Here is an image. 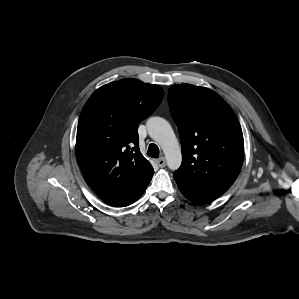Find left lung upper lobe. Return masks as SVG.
<instances>
[{
  "mask_svg": "<svg viewBox=\"0 0 299 299\" xmlns=\"http://www.w3.org/2000/svg\"><path fill=\"white\" fill-rule=\"evenodd\" d=\"M170 113L182 144L176 182L218 198L236 180L244 158L239 121L214 91L191 84L169 88Z\"/></svg>",
  "mask_w": 299,
  "mask_h": 299,
  "instance_id": "left-lung-upper-lobe-1",
  "label": "left lung upper lobe"
}]
</instances>
